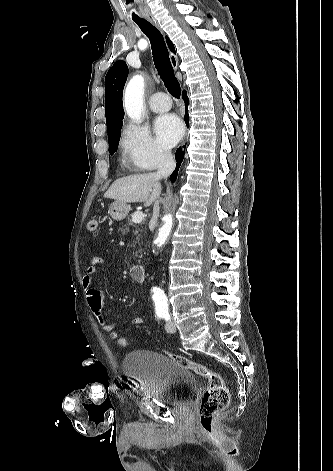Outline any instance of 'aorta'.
Listing matches in <instances>:
<instances>
[{
	"mask_svg": "<svg viewBox=\"0 0 333 471\" xmlns=\"http://www.w3.org/2000/svg\"><path fill=\"white\" fill-rule=\"evenodd\" d=\"M144 86L145 81L142 75H135L127 84L124 93V108L128 116L137 121H141L143 97H144ZM173 226L172 214H166L163 217V225L158 231V235L155 239V244L158 247H162L171 232ZM152 298L155 302L156 307L166 308L167 298L165 293L157 287L152 289Z\"/></svg>",
	"mask_w": 333,
	"mask_h": 471,
	"instance_id": "762f6f07",
	"label": "aorta"
}]
</instances>
